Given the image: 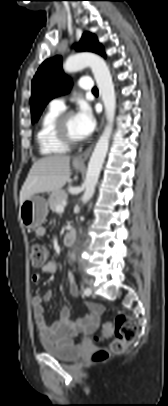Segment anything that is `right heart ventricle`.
<instances>
[{
	"label": "right heart ventricle",
	"mask_w": 168,
	"mask_h": 406,
	"mask_svg": "<svg viewBox=\"0 0 168 406\" xmlns=\"http://www.w3.org/2000/svg\"><path fill=\"white\" fill-rule=\"evenodd\" d=\"M62 109L49 107L43 114L36 133L39 151L43 155H55L68 150L67 145L61 143L55 136L54 124Z\"/></svg>",
	"instance_id": "1"
}]
</instances>
